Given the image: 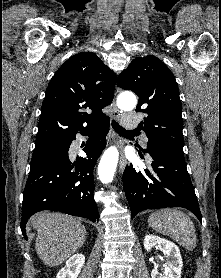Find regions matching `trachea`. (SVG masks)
Wrapping results in <instances>:
<instances>
[{"instance_id":"trachea-1","label":"trachea","mask_w":221,"mask_h":278,"mask_svg":"<svg viewBox=\"0 0 221 278\" xmlns=\"http://www.w3.org/2000/svg\"><path fill=\"white\" fill-rule=\"evenodd\" d=\"M113 129L119 134H135L138 133V130H126L120 126L115 120L112 121Z\"/></svg>"}]
</instances>
